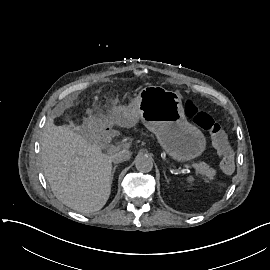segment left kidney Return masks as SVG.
Listing matches in <instances>:
<instances>
[{
	"label": "left kidney",
	"mask_w": 270,
	"mask_h": 270,
	"mask_svg": "<svg viewBox=\"0 0 270 270\" xmlns=\"http://www.w3.org/2000/svg\"><path fill=\"white\" fill-rule=\"evenodd\" d=\"M187 182L192 184L194 182V177L193 176H188L187 177Z\"/></svg>",
	"instance_id": "obj_1"
}]
</instances>
